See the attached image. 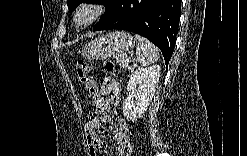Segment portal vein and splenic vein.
Listing matches in <instances>:
<instances>
[{
    "label": "portal vein and splenic vein",
    "instance_id": "1",
    "mask_svg": "<svg viewBox=\"0 0 247 156\" xmlns=\"http://www.w3.org/2000/svg\"><path fill=\"white\" fill-rule=\"evenodd\" d=\"M131 62L130 59L127 60V64H126V67H129V63Z\"/></svg>",
    "mask_w": 247,
    "mask_h": 156
}]
</instances>
